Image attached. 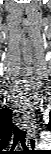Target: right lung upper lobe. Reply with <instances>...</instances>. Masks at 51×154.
<instances>
[{"label":"right lung upper lobe","mask_w":51,"mask_h":154,"mask_svg":"<svg viewBox=\"0 0 51 154\" xmlns=\"http://www.w3.org/2000/svg\"><path fill=\"white\" fill-rule=\"evenodd\" d=\"M11 110L7 109L5 112H3L2 116L4 118V121L8 127V129H12L13 123H12V117H11Z\"/></svg>","instance_id":"cb5924a9"}]
</instances>
